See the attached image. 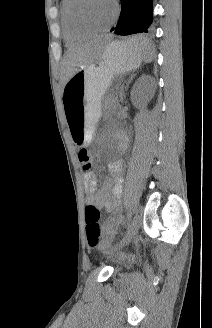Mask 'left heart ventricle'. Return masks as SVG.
I'll list each match as a JSON object with an SVG mask.
<instances>
[{
    "label": "left heart ventricle",
    "mask_w": 212,
    "mask_h": 328,
    "mask_svg": "<svg viewBox=\"0 0 212 328\" xmlns=\"http://www.w3.org/2000/svg\"><path fill=\"white\" fill-rule=\"evenodd\" d=\"M114 13L111 0H84L75 10L77 18L90 26L102 27L107 25Z\"/></svg>",
    "instance_id": "b2bd125f"
}]
</instances>
